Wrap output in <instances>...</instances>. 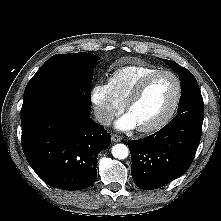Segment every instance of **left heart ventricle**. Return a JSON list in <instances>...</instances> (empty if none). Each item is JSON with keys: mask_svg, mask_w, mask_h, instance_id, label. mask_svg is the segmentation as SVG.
<instances>
[{"mask_svg": "<svg viewBox=\"0 0 221 221\" xmlns=\"http://www.w3.org/2000/svg\"><path fill=\"white\" fill-rule=\"evenodd\" d=\"M176 93V84L169 75L152 79L128 113L137 127L150 125L159 120L170 108Z\"/></svg>", "mask_w": 221, "mask_h": 221, "instance_id": "1", "label": "left heart ventricle"}]
</instances>
